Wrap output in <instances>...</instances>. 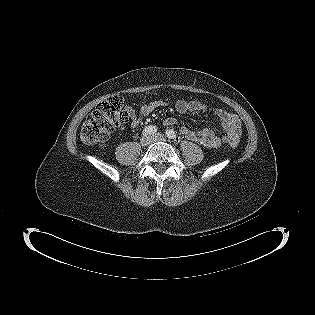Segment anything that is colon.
Masks as SVG:
<instances>
[{
  "mask_svg": "<svg viewBox=\"0 0 315 315\" xmlns=\"http://www.w3.org/2000/svg\"><path fill=\"white\" fill-rule=\"evenodd\" d=\"M129 118L124 107L123 98L113 95L102 101L84 122L80 138L86 145L105 142L111 133L119 126L125 124ZM232 147L237 142H230Z\"/></svg>",
  "mask_w": 315,
  "mask_h": 315,
  "instance_id": "1",
  "label": "colon"
}]
</instances>
